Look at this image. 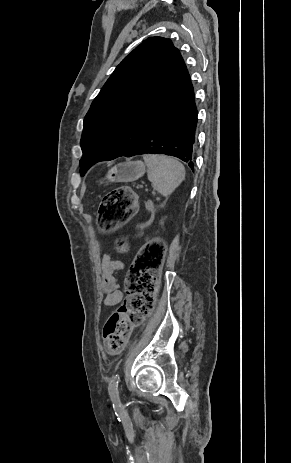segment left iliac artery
Instances as JSON below:
<instances>
[{
    "label": "left iliac artery",
    "mask_w": 291,
    "mask_h": 463,
    "mask_svg": "<svg viewBox=\"0 0 291 463\" xmlns=\"http://www.w3.org/2000/svg\"><path fill=\"white\" fill-rule=\"evenodd\" d=\"M119 375L116 374L112 377L110 384H109V394L114 403H119V392H118V383H119Z\"/></svg>",
    "instance_id": "1"
}]
</instances>
